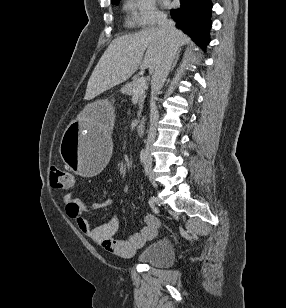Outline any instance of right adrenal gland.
<instances>
[{"instance_id": "obj_1", "label": "right adrenal gland", "mask_w": 286, "mask_h": 308, "mask_svg": "<svg viewBox=\"0 0 286 308\" xmlns=\"http://www.w3.org/2000/svg\"><path fill=\"white\" fill-rule=\"evenodd\" d=\"M179 56H180V51H178V53H177V55H176V57H175V60H174L173 65H172V67H171V70H173L174 67L176 66V64H177V62H178V60H179Z\"/></svg>"}]
</instances>
